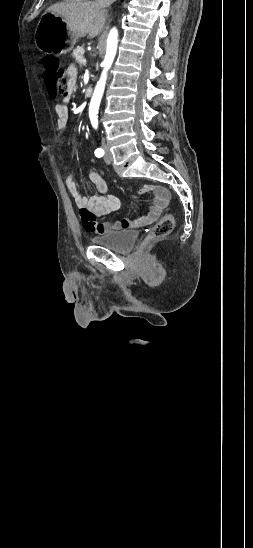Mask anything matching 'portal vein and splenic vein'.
<instances>
[{"instance_id": "obj_1", "label": "portal vein and splenic vein", "mask_w": 253, "mask_h": 548, "mask_svg": "<svg viewBox=\"0 0 253 548\" xmlns=\"http://www.w3.org/2000/svg\"><path fill=\"white\" fill-rule=\"evenodd\" d=\"M81 63H82V64H86V59H82V60H81Z\"/></svg>"}]
</instances>
